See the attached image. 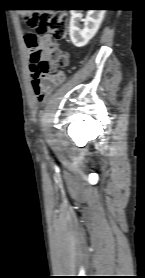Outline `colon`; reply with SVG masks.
<instances>
[{"label": "colon", "mask_w": 145, "mask_h": 278, "mask_svg": "<svg viewBox=\"0 0 145 278\" xmlns=\"http://www.w3.org/2000/svg\"><path fill=\"white\" fill-rule=\"evenodd\" d=\"M24 21L30 29V31L23 33V37L29 50L31 76L35 82L34 88L37 94V102H41L45 93L41 90L38 82L50 70L65 64L68 58L55 44L40 43L38 34H50L57 38H64L68 32V20L64 14L54 13L41 16H26ZM55 83H58L57 79L48 81V84Z\"/></svg>", "instance_id": "5ec220e1"}]
</instances>
